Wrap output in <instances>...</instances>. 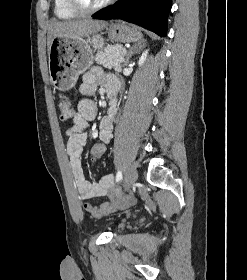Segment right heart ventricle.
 <instances>
[{"mask_svg":"<svg viewBox=\"0 0 247 280\" xmlns=\"http://www.w3.org/2000/svg\"><path fill=\"white\" fill-rule=\"evenodd\" d=\"M54 13L62 20H70L78 16V13L70 8L68 0H54Z\"/></svg>","mask_w":247,"mask_h":280,"instance_id":"obj_1","label":"right heart ventricle"}]
</instances>
